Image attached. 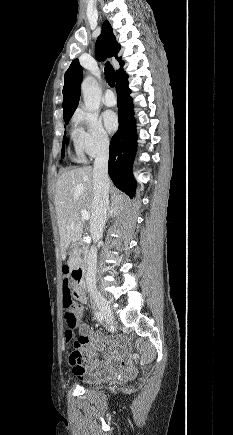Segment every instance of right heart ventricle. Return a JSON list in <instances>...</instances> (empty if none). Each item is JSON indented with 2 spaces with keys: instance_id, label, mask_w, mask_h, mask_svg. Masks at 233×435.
I'll return each mask as SVG.
<instances>
[{
  "instance_id": "e07e8e85",
  "label": "right heart ventricle",
  "mask_w": 233,
  "mask_h": 435,
  "mask_svg": "<svg viewBox=\"0 0 233 435\" xmlns=\"http://www.w3.org/2000/svg\"><path fill=\"white\" fill-rule=\"evenodd\" d=\"M71 135H72V139L74 141V144L76 145L77 148H79V144L81 142V137H82L81 130L77 127H74Z\"/></svg>"
}]
</instances>
